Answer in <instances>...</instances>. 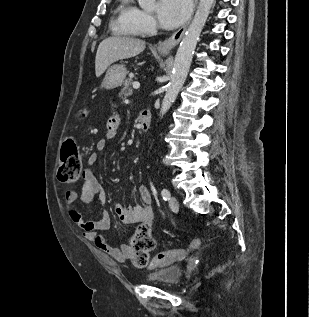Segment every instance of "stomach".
Masks as SVG:
<instances>
[{
	"instance_id": "stomach-1",
	"label": "stomach",
	"mask_w": 309,
	"mask_h": 317,
	"mask_svg": "<svg viewBox=\"0 0 309 317\" xmlns=\"http://www.w3.org/2000/svg\"><path fill=\"white\" fill-rule=\"evenodd\" d=\"M126 75L127 71L123 65H113L107 70L102 87L108 90L114 89L124 82Z\"/></svg>"
}]
</instances>
